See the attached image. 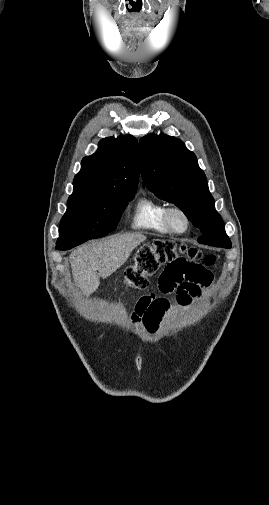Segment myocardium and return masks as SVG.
Listing matches in <instances>:
<instances>
[{"label": "myocardium", "mask_w": 269, "mask_h": 505, "mask_svg": "<svg viewBox=\"0 0 269 505\" xmlns=\"http://www.w3.org/2000/svg\"><path fill=\"white\" fill-rule=\"evenodd\" d=\"M174 214H180L185 219L186 227L183 230H179L173 225L172 216ZM164 222L169 231L177 235H183L187 233L191 228V219L189 214L179 206H170L166 208L164 212Z\"/></svg>", "instance_id": "obj_1"}]
</instances>
